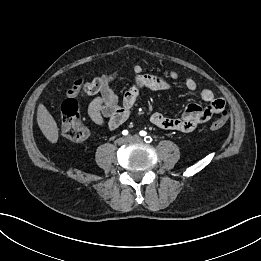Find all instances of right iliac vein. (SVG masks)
<instances>
[{
    "label": "right iliac vein",
    "mask_w": 261,
    "mask_h": 261,
    "mask_svg": "<svg viewBox=\"0 0 261 261\" xmlns=\"http://www.w3.org/2000/svg\"><path fill=\"white\" fill-rule=\"evenodd\" d=\"M127 142V138H124V137H121V138H119L118 140H117V143L119 144V145H123V144H125Z\"/></svg>",
    "instance_id": "1"
}]
</instances>
